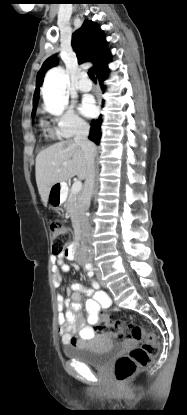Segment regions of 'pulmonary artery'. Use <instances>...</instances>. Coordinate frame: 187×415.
Returning a JSON list of instances; mask_svg holds the SVG:
<instances>
[{"mask_svg": "<svg viewBox=\"0 0 187 415\" xmlns=\"http://www.w3.org/2000/svg\"><path fill=\"white\" fill-rule=\"evenodd\" d=\"M77 89L81 92H88L92 89V83L87 78L86 73H82L80 81L77 84Z\"/></svg>", "mask_w": 187, "mask_h": 415, "instance_id": "pulmonary-artery-1", "label": "pulmonary artery"}]
</instances>
